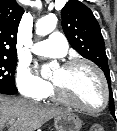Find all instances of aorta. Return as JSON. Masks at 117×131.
Returning <instances> with one entry per match:
<instances>
[{
	"mask_svg": "<svg viewBox=\"0 0 117 131\" xmlns=\"http://www.w3.org/2000/svg\"><path fill=\"white\" fill-rule=\"evenodd\" d=\"M57 25V18L55 15H47L40 18L36 23V33L40 36H45L51 33ZM52 64H44L41 69V75L46 77L50 74Z\"/></svg>",
	"mask_w": 117,
	"mask_h": 131,
	"instance_id": "1",
	"label": "aorta"
}]
</instances>
